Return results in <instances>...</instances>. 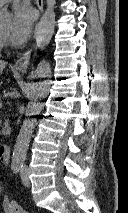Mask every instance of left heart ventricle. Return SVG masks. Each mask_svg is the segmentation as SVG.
Segmentation results:
<instances>
[{
  "mask_svg": "<svg viewBox=\"0 0 128 213\" xmlns=\"http://www.w3.org/2000/svg\"><path fill=\"white\" fill-rule=\"evenodd\" d=\"M0 32H3V33H5V34H9V32H10V24H7V25H5V26H3L1 29H0Z\"/></svg>",
  "mask_w": 128,
  "mask_h": 213,
  "instance_id": "b2bd125f",
  "label": "left heart ventricle"
}]
</instances>
